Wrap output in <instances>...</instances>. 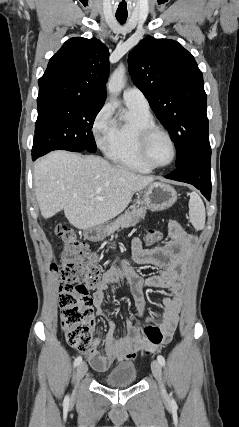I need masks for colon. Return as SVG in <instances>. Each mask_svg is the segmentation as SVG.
<instances>
[{
  "label": "colon",
  "instance_id": "obj_1",
  "mask_svg": "<svg viewBox=\"0 0 239 427\" xmlns=\"http://www.w3.org/2000/svg\"><path fill=\"white\" fill-rule=\"evenodd\" d=\"M55 233L64 247L61 264L51 266L59 278L61 326L68 343L87 353L93 348L94 315L90 291L96 289L101 282V265L98 256L78 239L72 229L58 225ZM160 238V232L149 230L144 240L147 245H153ZM144 334L152 346H158L164 338L156 324L146 325ZM152 351L148 347L144 350L145 353Z\"/></svg>",
  "mask_w": 239,
  "mask_h": 427
}]
</instances>
